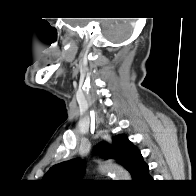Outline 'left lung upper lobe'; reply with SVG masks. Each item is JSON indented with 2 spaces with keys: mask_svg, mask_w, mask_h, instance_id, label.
Masks as SVG:
<instances>
[{
  "mask_svg": "<svg viewBox=\"0 0 196 196\" xmlns=\"http://www.w3.org/2000/svg\"><path fill=\"white\" fill-rule=\"evenodd\" d=\"M104 147L102 157L114 159L127 169L132 178L138 165L143 160L139 149L129 141L126 135H118L112 138V144L101 142L97 148ZM84 169V163L79 159H73L54 165L44 175L43 179L48 183H64L74 181L79 177Z\"/></svg>",
  "mask_w": 196,
  "mask_h": 196,
  "instance_id": "obj_1",
  "label": "left lung upper lobe"
}]
</instances>
